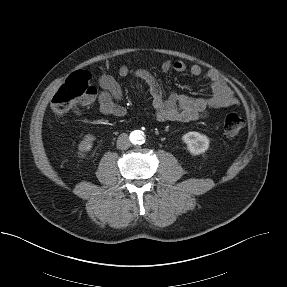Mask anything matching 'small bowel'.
<instances>
[{
    "label": "small bowel",
    "mask_w": 287,
    "mask_h": 287,
    "mask_svg": "<svg viewBox=\"0 0 287 287\" xmlns=\"http://www.w3.org/2000/svg\"><path fill=\"white\" fill-rule=\"evenodd\" d=\"M163 72L174 70L182 73L189 71L196 77H203L210 83L212 94L208 97H192L171 92L167 97L163 94L160 82L147 70L137 69L132 75L142 80L149 89L156 118L160 122H190L205 117L209 110L236 106L239 104L226 80L215 70L204 71L201 66L194 64L189 68L183 61L166 60L162 63ZM130 69L123 65L118 70L121 78L127 77ZM101 91L98 96L99 110L103 115L122 117L126 108L122 104V89L116 79L103 74L99 77Z\"/></svg>",
    "instance_id": "small-bowel-1"
}]
</instances>
